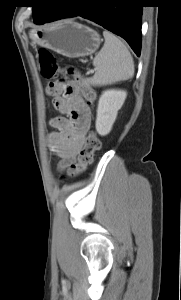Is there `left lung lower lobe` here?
<instances>
[{
  "label": "left lung lower lobe",
  "mask_w": 181,
  "mask_h": 300,
  "mask_svg": "<svg viewBox=\"0 0 181 300\" xmlns=\"http://www.w3.org/2000/svg\"><path fill=\"white\" fill-rule=\"evenodd\" d=\"M142 7L140 0H66L45 23L81 16L124 38L140 56Z\"/></svg>",
  "instance_id": "0a47b994"
}]
</instances>
